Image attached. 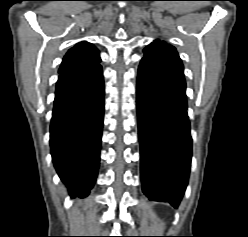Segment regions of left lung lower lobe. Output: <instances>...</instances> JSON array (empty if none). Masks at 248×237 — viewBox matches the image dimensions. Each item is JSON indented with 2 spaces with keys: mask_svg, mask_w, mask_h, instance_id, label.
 <instances>
[{
  "mask_svg": "<svg viewBox=\"0 0 248 237\" xmlns=\"http://www.w3.org/2000/svg\"><path fill=\"white\" fill-rule=\"evenodd\" d=\"M141 180L151 200L177 207L192 155L185 79L142 59L137 78Z\"/></svg>",
  "mask_w": 248,
  "mask_h": 237,
  "instance_id": "1",
  "label": "left lung lower lobe"
}]
</instances>
